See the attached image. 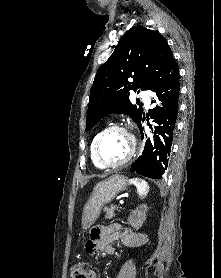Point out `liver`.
Listing matches in <instances>:
<instances>
[{"instance_id": "1", "label": "liver", "mask_w": 221, "mask_h": 278, "mask_svg": "<svg viewBox=\"0 0 221 278\" xmlns=\"http://www.w3.org/2000/svg\"><path fill=\"white\" fill-rule=\"evenodd\" d=\"M88 182V179H85L82 183H81V188Z\"/></svg>"}]
</instances>
